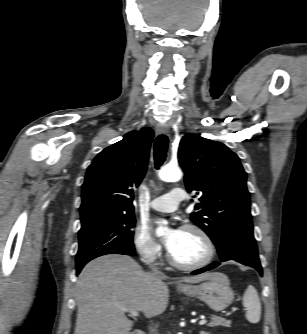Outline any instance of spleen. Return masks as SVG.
I'll use <instances>...</instances> for the list:
<instances>
[{"mask_svg":"<svg viewBox=\"0 0 307 334\" xmlns=\"http://www.w3.org/2000/svg\"><path fill=\"white\" fill-rule=\"evenodd\" d=\"M243 305L246 308V318L250 323H258L261 318V303L254 286L248 285L243 295Z\"/></svg>","mask_w":307,"mask_h":334,"instance_id":"1","label":"spleen"}]
</instances>
